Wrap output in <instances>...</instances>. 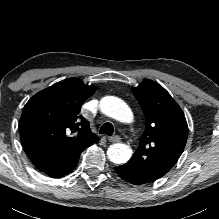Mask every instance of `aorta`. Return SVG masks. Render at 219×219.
<instances>
[{
  "label": "aorta",
  "mask_w": 219,
  "mask_h": 219,
  "mask_svg": "<svg viewBox=\"0 0 219 219\" xmlns=\"http://www.w3.org/2000/svg\"><path fill=\"white\" fill-rule=\"evenodd\" d=\"M101 111L113 119L122 123H132L134 114L131 108L122 99L114 96L104 97L100 104ZM132 149L129 145L115 143L108 148L109 159L117 164H124L132 156Z\"/></svg>",
  "instance_id": "1"
}]
</instances>
